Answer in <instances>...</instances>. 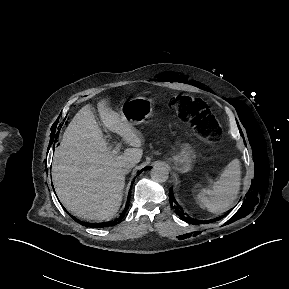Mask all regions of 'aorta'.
I'll use <instances>...</instances> for the list:
<instances>
[{"label":"aorta","instance_id":"aorta-1","mask_svg":"<svg viewBox=\"0 0 289 289\" xmlns=\"http://www.w3.org/2000/svg\"><path fill=\"white\" fill-rule=\"evenodd\" d=\"M152 180L163 183L166 182L169 177V172L164 166H155L150 171Z\"/></svg>","mask_w":289,"mask_h":289}]
</instances>
